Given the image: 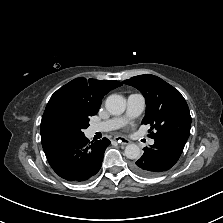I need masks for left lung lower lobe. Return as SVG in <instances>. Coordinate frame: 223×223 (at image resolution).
<instances>
[{"mask_svg": "<svg viewBox=\"0 0 223 223\" xmlns=\"http://www.w3.org/2000/svg\"><path fill=\"white\" fill-rule=\"evenodd\" d=\"M155 143L144 148V154L132 164L135 173L143 177H155L169 170L178 161L185 142L172 137L154 139Z\"/></svg>", "mask_w": 223, "mask_h": 223, "instance_id": "obj_1", "label": "left lung lower lobe"}]
</instances>
